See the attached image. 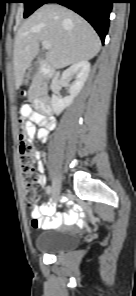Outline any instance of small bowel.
<instances>
[{"instance_id":"small-bowel-1","label":"small bowel","mask_w":136,"mask_h":296,"mask_svg":"<svg viewBox=\"0 0 136 296\" xmlns=\"http://www.w3.org/2000/svg\"><path fill=\"white\" fill-rule=\"evenodd\" d=\"M26 108L24 111H22V114L29 117L30 119L36 121L39 123L43 117L36 112L30 110L26 106H22ZM28 133L30 136H36L41 141H47L49 137V132L45 128H40L38 130L35 129L34 126H30L28 129ZM37 171H38V183L40 186H44L45 184V178L43 176L44 173V164L43 162L39 161L37 163ZM54 213H52V206L51 204H44L39 207H35L32 211V226L34 228L40 229V228H59L62 225H74L79 221V215L72 211L70 213L61 214L57 213L53 216ZM47 216V217H44Z\"/></svg>"}]
</instances>
